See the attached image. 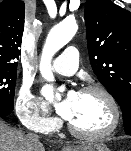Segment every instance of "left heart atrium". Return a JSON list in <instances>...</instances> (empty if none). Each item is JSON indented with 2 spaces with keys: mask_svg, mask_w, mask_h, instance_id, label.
Listing matches in <instances>:
<instances>
[{
  "mask_svg": "<svg viewBox=\"0 0 131 151\" xmlns=\"http://www.w3.org/2000/svg\"><path fill=\"white\" fill-rule=\"evenodd\" d=\"M44 92L48 98H52V89L50 87H46ZM77 95L78 93L72 91L62 102L56 105L58 113L66 120H70L73 116Z\"/></svg>",
  "mask_w": 131,
  "mask_h": 151,
  "instance_id": "1",
  "label": "left heart atrium"
}]
</instances>
